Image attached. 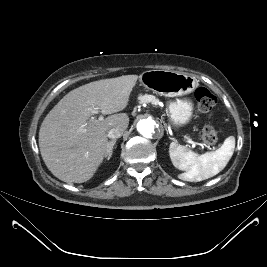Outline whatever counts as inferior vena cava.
<instances>
[{"instance_id":"602c4592","label":"inferior vena cava","mask_w":267,"mask_h":267,"mask_svg":"<svg viewBox=\"0 0 267 267\" xmlns=\"http://www.w3.org/2000/svg\"><path fill=\"white\" fill-rule=\"evenodd\" d=\"M124 129L121 127H113L108 131L107 136L112 139H116L122 136Z\"/></svg>"}]
</instances>
